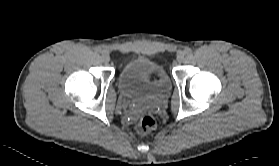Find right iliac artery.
Here are the masks:
<instances>
[{
    "mask_svg": "<svg viewBox=\"0 0 279 166\" xmlns=\"http://www.w3.org/2000/svg\"><path fill=\"white\" fill-rule=\"evenodd\" d=\"M94 51L95 53H101L102 49L100 47H95Z\"/></svg>",
    "mask_w": 279,
    "mask_h": 166,
    "instance_id": "82829eb1",
    "label": "right iliac artery"
}]
</instances>
